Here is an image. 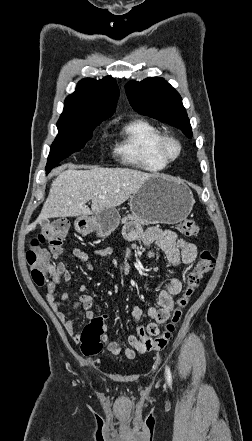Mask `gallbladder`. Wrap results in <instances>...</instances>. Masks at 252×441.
<instances>
[{"instance_id":"gallbladder-1","label":"gallbladder","mask_w":252,"mask_h":441,"mask_svg":"<svg viewBox=\"0 0 252 441\" xmlns=\"http://www.w3.org/2000/svg\"><path fill=\"white\" fill-rule=\"evenodd\" d=\"M40 224H41V227L47 228L49 226V221H43Z\"/></svg>"}]
</instances>
